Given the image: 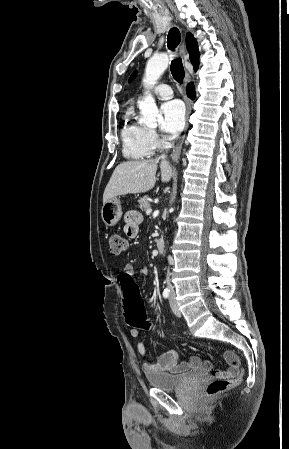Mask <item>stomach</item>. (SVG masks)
I'll return each mask as SVG.
<instances>
[{"mask_svg": "<svg viewBox=\"0 0 289 449\" xmlns=\"http://www.w3.org/2000/svg\"><path fill=\"white\" fill-rule=\"evenodd\" d=\"M122 216L120 200L116 197L108 200L101 209V217L106 226H114Z\"/></svg>", "mask_w": 289, "mask_h": 449, "instance_id": "0dacf381", "label": "stomach"}]
</instances>
